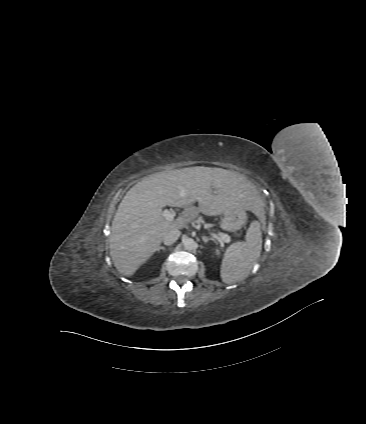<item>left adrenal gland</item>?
I'll list each match as a JSON object with an SVG mask.
<instances>
[{"label":"left adrenal gland","instance_id":"a2214340","mask_svg":"<svg viewBox=\"0 0 366 424\" xmlns=\"http://www.w3.org/2000/svg\"><path fill=\"white\" fill-rule=\"evenodd\" d=\"M202 240L204 241L205 244L209 243V241H213L214 243H216V240L212 237H207V236H202Z\"/></svg>","mask_w":366,"mask_h":424}]
</instances>
